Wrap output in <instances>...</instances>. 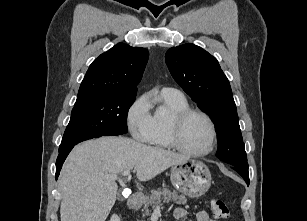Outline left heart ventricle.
<instances>
[{
  "mask_svg": "<svg viewBox=\"0 0 307 221\" xmlns=\"http://www.w3.org/2000/svg\"><path fill=\"white\" fill-rule=\"evenodd\" d=\"M181 142L193 152L207 150L211 143V130L207 121L199 115L191 116L183 127Z\"/></svg>",
  "mask_w": 307,
  "mask_h": 221,
  "instance_id": "1",
  "label": "left heart ventricle"
}]
</instances>
